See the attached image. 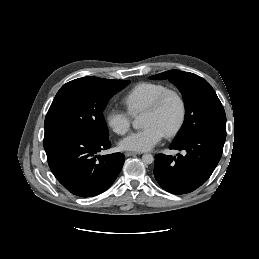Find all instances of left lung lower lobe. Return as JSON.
<instances>
[{"instance_id":"0a47b994","label":"left lung lower lobe","mask_w":259,"mask_h":259,"mask_svg":"<svg viewBox=\"0 0 259 259\" xmlns=\"http://www.w3.org/2000/svg\"><path fill=\"white\" fill-rule=\"evenodd\" d=\"M226 132L203 130L192 134L170 149L184 150L185 155L155 156L154 176L159 185L173 194L192 192L211 176L223 151Z\"/></svg>"}]
</instances>
